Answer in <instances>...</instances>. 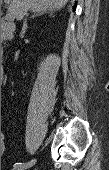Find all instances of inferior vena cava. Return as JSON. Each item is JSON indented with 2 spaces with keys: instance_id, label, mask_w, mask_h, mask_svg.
Returning <instances> with one entry per match:
<instances>
[{
  "instance_id": "obj_1",
  "label": "inferior vena cava",
  "mask_w": 109,
  "mask_h": 170,
  "mask_svg": "<svg viewBox=\"0 0 109 170\" xmlns=\"http://www.w3.org/2000/svg\"><path fill=\"white\" fill-rule=\"evenodd\" d=\"M25 27H26V19H25V22L23 24V29H25Z\"/></svg>"
}]
</instances>
